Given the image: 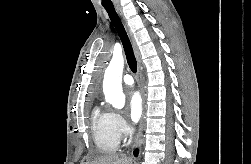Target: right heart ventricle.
<instances>
[{
	"instance_id": "e07e8e85",
	"label": "right heart ventricle",
	"mask_w": 251,
	"mask_h": 164,
	"mask_svg": "<svg viewBox=\"0 0 251 164\" xmlns=\"http://www.w3.org/2000/svg\"><path fill=\"white\" fill-rule=\"evenodd\" d=\"M91 129L95 146L101 154L114 153L119 145V137L112 125V113L95 107L91 113Z\"/></svg>"
}]
</instances>
